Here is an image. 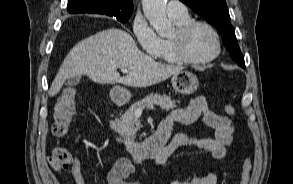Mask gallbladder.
<instances>
[{
    "mask_svg": "<svg viewBox=\"0 0 293 184\" xmlns=\"http://www.w3.org/2000/svg\"><path fill=\"white\" fill-rule=\"evenodd\" d=\"M80 79H81L80 75H74L68 80V84L70 86H75L79 83Z\"/></svg>",
    "mask_w": 293,
    "mask_h": 184,
    "instance_id": "obj_1",
    "label": "gallbladder"
}]
</instances>
